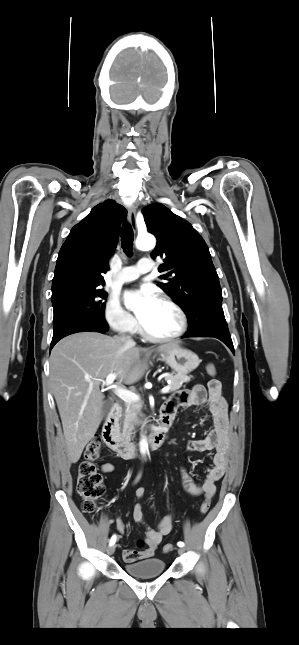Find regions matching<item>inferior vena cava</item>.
I'll use <instances>...</instances> for the list:
<instances>
[{"mask_svg": "<svg viewBox=\"0 0 299 645\" xmlns=\"http://www.w3.org/2000/svg\"><path fill=\"white\" fill-rule=\"evenodd\" d=\"M120 340L126 345V346H135L134 340L130 336H121Z\"/></svg>", "mask_w": 299, "mask_h": 645, "instance_id": "602c4592", "label": "inferior vena cava"}]
</instances>
